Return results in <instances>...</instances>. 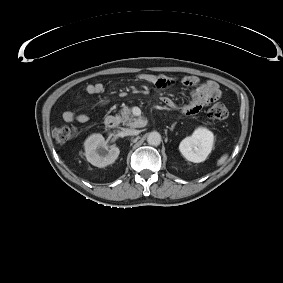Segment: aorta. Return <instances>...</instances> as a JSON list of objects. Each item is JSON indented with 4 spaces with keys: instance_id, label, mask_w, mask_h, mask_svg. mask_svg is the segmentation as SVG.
<instances>
[{
    "instance_id": "obj_1",
    "label": "aorta",
    "mask_w": 283,
    "mask_h": 283,
    "mask_svg": "<svg viewBox=\"0 0 283 283\" xmlns=\"http://www.w3.org/2000/svg\"><path fill=\"white\" fill-rule=\"evenodd\" d=\"M147 142L149 145L158 146L161 143V135L156 131L150 132L147 136Z\"/></svg>"
}]
</instances>
